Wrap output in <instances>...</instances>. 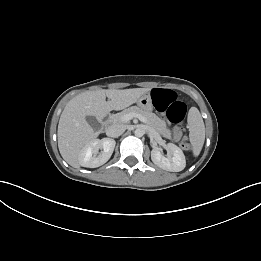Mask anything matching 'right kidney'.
I'll return each mask as SVG.
<instances>
[{
  "instance_id": "1",
  "label": "right kidney",
  "mask_w": 261,
  "mask_h": 261,
  "mask_svg": "<svg viewBox=\"0 0 261 261\" xmlns=\"http://www.w3.org/2000/svg\"><path fill=\"white\" fill-rule=\"evenodd\" d=\"M116 142L109 138L101 140L95 139L85 145L80 154V164L87 168H96L105 164L111 157ZM103 149L101 154L97 155L98 151Z\"/></svg>"
}]
</instances>
